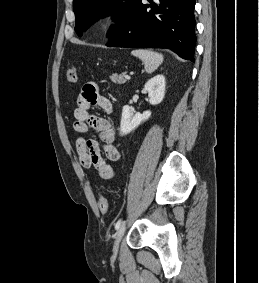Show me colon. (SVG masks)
Wrapping results in <instances>:
<instances>
[{
    "mask_svg": "<svg viewBox=\"0 0 259 283\" xmlns=\"http://www.w3.org/2000/svg\"><path fill=\"white\" fill-rule=\"evenodd\" d=\"M66 80L70 85H73L77 81V69L75 66H70L66 71ZM98 207L102 213L108 211V201L105 196H100L98 199Z\"/></svg>",
    "mask_w": 259,
    "mask_h": 283,
    "instance_id": "1",
    "label": "colon"
}]
</instances>
